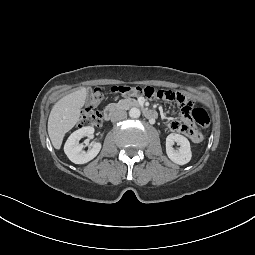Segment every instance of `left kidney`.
<instances>
[{
  "label": "left kidney",
  "instance_id": "1",
  "mask_svg": "<svg viewBox=\"0 0 255 255\" xmlns=\"http://www.w3.org/2000/svg\"><path fill=\"white\" fill-rule=\"evenodd\" d=\"M174 143H177L180 147L174 149ZM166 153L168 158L174 163L178 165L187 164L192 157L189 140L180 134H169L166 138Z\"/></svg>",
  "mask_w": 255,
  "mask_h": 255
}]
</instances>
